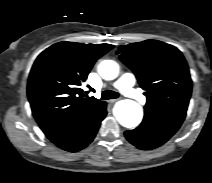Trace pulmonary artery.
I'll use <instances>...</instances> for the list:
<instances>
[{
	"mask_svg": "<svg viewBox=\"0 0 212 183\" xmlns=\"http://www.w3.org/2000/svg\"><path fill=\"white\" fill-rule=\"evenodd\" d=\"M136 78L132 73L123 74L113 86L119 89L125 96L134 99L139 103H146V97L134 88Z\"/></svg>",
	"mask_w": 212,
	"mask_h": 183,
	"instance_id": "e3ab8cb5",
	"label": "pulmonary artery"
}]
</instances>
